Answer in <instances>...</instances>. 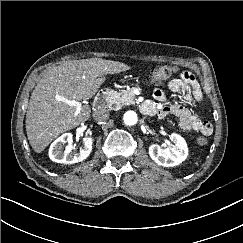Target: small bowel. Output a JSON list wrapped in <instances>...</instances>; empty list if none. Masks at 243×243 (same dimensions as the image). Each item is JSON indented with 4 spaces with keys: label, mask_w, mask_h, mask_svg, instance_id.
Listing matches in <instances>:
<instances>
[{
    "label": "small bowel",
    "mask_w": 243,
    "mask_h": 243,
    "mask_svg": "<svg viewBox=\"0 0 243 243\" xmlns=\"http://www.w3.org/2000/svg\"><path fill=\"white\" fill-rule=\"evenodd\" d=\"M168 89L174 93L180 94L188 103L201 99L199 86L193 75L184 73L180 78H174L168 83ZM153 98L157 102H165L166 92L161 88L153 91ZM142 110L149 115H157L164 118L167 115H175L179 118L180 127L186 131H197L204 136H209L213 132L212 125L200 118L187 106L182 104H172L169 106H157L153 101H146Z\"/></svg>",
    "instance_id": "c3829d8e"
}]
</instances>
